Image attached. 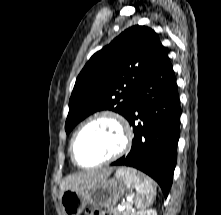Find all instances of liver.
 Masks as SVG:
<instances>
[{"label":"liver","mask_w":221,"mask_h":215,"mask_svg":"<svg viewBox=\"0 0 221 215\" xmlns=\"http://www.w3.org/2000/svg\"><path fill=\"white\" fill-rule=\"evenodd\" d=\"M112 169H102L68 176L60 185L61 194L66 190H84L106 179Z\"/></svg>","instance_id":"1"}]
</instances>
